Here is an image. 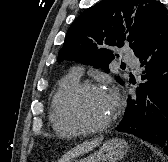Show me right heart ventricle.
Masks as SVG:
<instances>
[{"mask_svg":"<svg viewBox=\"0 0 168 162\" xmlns=\"http://www.w3.org/2000/svg\"><path fill=\"white\" fill-rule=\"evenodd\" d=\"M77 83H79V77L71 71L58 81L52 95L49 120L55 133L62 137H71L80 133L78 129L65 122L59 111L60 101L63 95Z\"/></svg>","mask_w":168,"mask_h":162,"instance_id":"e07e8e85","label":"right heart ventricle"}]
</instances>
